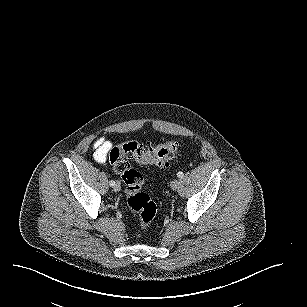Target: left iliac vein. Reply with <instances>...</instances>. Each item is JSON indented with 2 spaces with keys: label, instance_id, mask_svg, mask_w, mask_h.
Instances as JSON below:
<instances>
[{
  "label": "left iliac vein",
  "instance_id": "left-iliac-vein-1",
  "mask_svg": "<svg viewBox=\"0 0 307 307\" xmlns=\"http://www.w3.org/2000/svg\"><path fill=\"white\" fill-rule=\"evenodd\" d=\"M180 185V181L178 179H174L172 182H171V188L173 190H177L178 187Z\"/></svg>",
  "mask_w": 307,
  "mask_h": 307
}]
</instances>
